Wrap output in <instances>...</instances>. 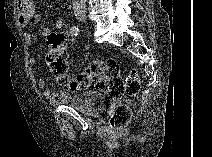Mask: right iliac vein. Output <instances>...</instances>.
I'll return each instance as SVG.
<instances>
[{
	"instance_id": "1",
	"label": "right iliac vein",
	"mask_w": 212,
	"mask_h": 157,
	"mask_svg": "<svg viewBox=\"0 0 212 157\" xmlns=\"http://www.w3.org/2000/svg\"><path fill=\"white\" fill-rule=\"evenodd\" d=\"M77 19L81 22H85L87 20V16L85 13H80L77 15Z\"/></svg>"
}]
</instances>
